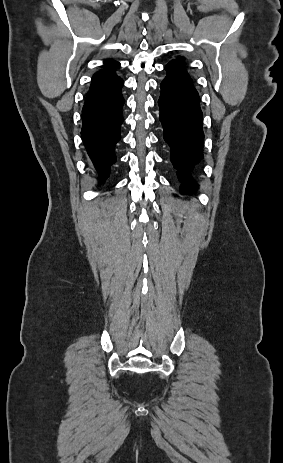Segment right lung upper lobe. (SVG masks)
Returning <instances> with one entry per match:
<instances>
[{
    "label": "right lung upper lobe",
    "mask_w": 283,
    "mask_h": 463,
    "mask_svg": "<svg viewBox=\"0 0 283 463\" xmlns=\"http://www.w3.org/2000/svg\"><path fill=\"white\" fill-rule=\"evenodd\" d=\"M106 69L94 74L91 81V87L108 81L117 75L114 73L115 68L119 67V63L113 60L104 62Z\"/></svg>",
    "instance_id": "obj_1"
}]
</instances>
